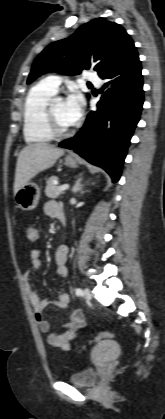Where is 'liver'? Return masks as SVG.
<instances>
[{
	"mask_svg": "<svg viewBox=\"0 0 165 419\" xmlns=\"http://www.w3.org/2000/svg\"><path fill=\"white\" fill-rule=\"evenodd\" d=\"M64 152V149L48 143L29 144L24 147L17 159L14 195L39 172L51 168Z\"/></svg>",
	"mask_w": 165,
	"mask_h": 419,
	"instance_id": "liver-1",
	"label": "liver"
}]
</instances>
